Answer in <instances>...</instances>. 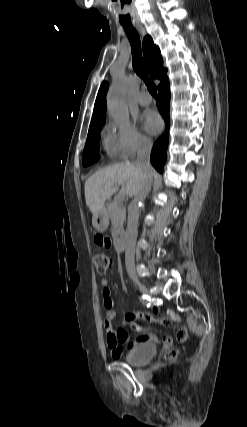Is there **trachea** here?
<instances>
[{
	"label": "trachea",
	"instance_id": "1",
	"mask_svg": "<svg viewBox=\"0 0 247 427\" xmlns=\"http://www.w3.org/2000/svg\"><path fill=\"white\" fill-rule=\"evenodd\" d=\"M123 28L131 44L134 70L144 80L150 94L157 97L156 85L149 79L143 63L139 34L132 25H123Z\"/></svg>",
	"mask_w": 247,
	"mask_h": 427
}]
</instances>
